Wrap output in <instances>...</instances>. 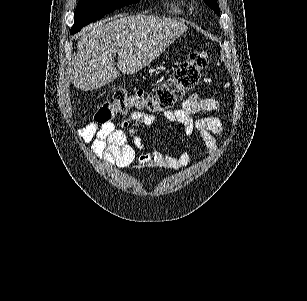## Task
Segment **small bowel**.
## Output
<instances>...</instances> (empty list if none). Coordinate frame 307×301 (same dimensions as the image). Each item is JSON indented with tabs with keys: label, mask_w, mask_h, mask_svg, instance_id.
<instances>
[{
	"label": "small bowel",
	"mask_w": 307,
	"mask_h": 301,
	"mask_svg": "<svg viewBox=\"0 0 307 301\" xmlns=\"http://www.w3.org/2000/svg\"><path fill=\"white\" fill-rule=\"evenodd\" d=\"M221 108L219 100L203 97L197 93L190 95L180 108L165 111L164 119L170 125H180L185 136L197 134L209 153L217 151V142L225 138L223 123L211 116L194 119L193 116L202 112L217 111ZM156 116L147 112H133L119 126L112 123L98 124L91 122L78 131L80 139L92 143V151L107 162L119 167H128L136 161V169L159 168L163 170L177 169L189 163L191 155L188 150L174 155L168 151L156 150L143 153L137 157L136 151L144 145L137 130L151 126Z\"/></svg>",
	"instance_id": "small-bowel-1"
}]
</instances>
